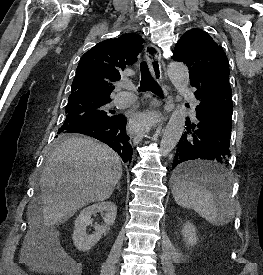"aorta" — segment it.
I'll list each match as a JSON object with an SVG mask.
<instances>
[{"label": "aorta", "instance_id": "762f6f07", "mask_svg": "<svg viewBox=\"0 0 263 275\" xmlns=\"http://www.w3.org/2000/svg\"><path fill=\"white\" fill-rule=\"evenodd\" d=\"M168 76L180 95H183L189 85L188 68L179 62H171L167 67ZM186 108L184 104H178L169 119L163 137L160 142V153L168 155L178 144L186 121Z\"/></svg>", "mask_w": 263, "mask_h": 275}]
</instances>
